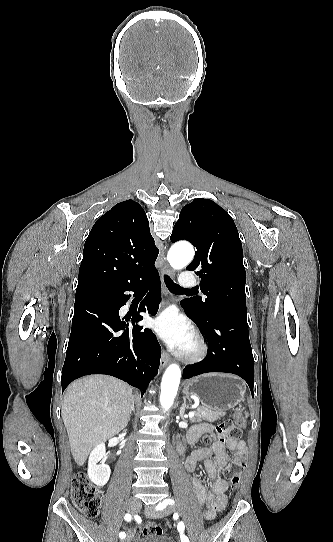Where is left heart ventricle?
<instances>
[{
  "label": "left heart ventricle",
  "instance_id": "b2bd125f",
  "mask_svg": "<svg viewBox=\"0 0 333 542\" xmlns=\"http://www.w3.org/2000/svg\"><path fill=\"white\" fill-rule=\"evenodd\" d=\"M192 346V339L190 340V342L186 345V347L184 348V350H189Z\"/></svg>",
  "mask_w": 333,
  "mask_h": 542
}]
</instances>
